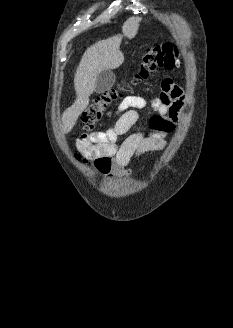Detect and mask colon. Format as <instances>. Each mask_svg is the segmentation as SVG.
<instances>
[{"mask_svg":"<svg viewBox=\"0 0 233 328\" xmlns=\"http://www.w3.org/2000/svg\"><path fill=\"white\" fill-rule=\"evenodd\" d=\"M181 64L180 51L176 45L171 43L154 45L147 49L144 54L142 63L134 76L133 82L144 81L158 69L171 70ZM127 84V82H124L119 87L110 89L91 102L81 116L84 129L90 130L96 125L105 114L107 108L119 99L122 89L126 87ZM149 125L153 133H170L174 129V121L160 114L153 115ZM110 163V159L107 157L96 160V166L102 171L108 169Z\"/></svg>","mask_w":233,"mask_h":328,"instance_id":"1","label":"colon"}]
</instances>
